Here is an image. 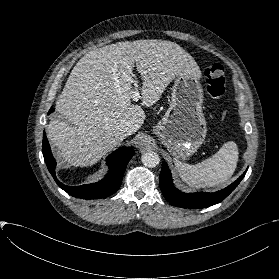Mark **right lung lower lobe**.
Instances as JSON below:
<instances>
[{
    "mask_svg": "<svg viewBox=\"0 0 279 279\" xmlns=\"http://www.w3.org/2000/svg\"><path fill=\"white\" fill-rule=\"evenodd\" d=\"M52 111H54V108L51 107L48 114ZM42 153L50 174L60 188L76 198L101 199L114 194L119 189L127 164L134 155V150L127 147H120L117 149L106 158L109 167L107 176L99 182L81 186H67L56 178V162L51 154L50 145L45 132L43 133Z\"/></svg>",
    "mask_w": 279,
    "mask_h": 279,
    "instance_id": "98d812e1",
    "label": "right lung lower lobe"
}]
</instances>
